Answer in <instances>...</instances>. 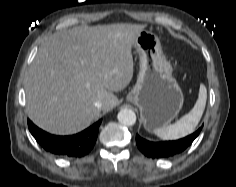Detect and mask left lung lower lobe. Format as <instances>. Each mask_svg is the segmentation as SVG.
<instances>
[{
    "label": "left lung lower lobe",
    "mask_w": 236,
    "mask_h": 187,
    "mask_svg": "<svg viewBox=\"0 0 236 187\" xmlns=\"http://www.w3.org/2000/svg\"><path fill=\"white\" fill-rule=\"evenodd\" d=\"M202 127L193 134L176 141L150 142L136 135V143L139 150L150 158L171 157L184 151L199 135Z\"/></svg>",
    "instance_id": "left-lung-lower-lobe-1"
}]
</instances>
